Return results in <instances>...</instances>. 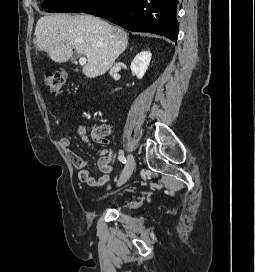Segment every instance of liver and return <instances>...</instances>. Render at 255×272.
<instances>
[{
	"mask_svg": "<svg viewBox=\"0 0 255 272\" xmlns=\"http://www.w3.org/2000/svg\"><path fill=\"white\" fill-rule=\"evenodd\" d=\"M35 46L57 63L73 56V49L87 57L83 73L95 78L106 73L126 49L128 34L93 15H45L35 28Z\"/></svg>",
	"mask_w": 255,
	"mask_h": 272,
	"instance_id": "6515ba94",
	"label": "liver"
}]
</instances>
